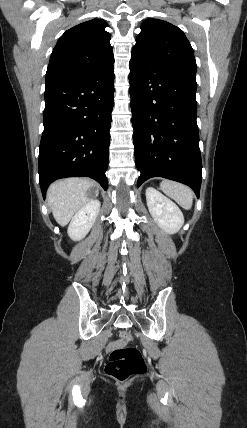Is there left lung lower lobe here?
Masks as SVG:
<instances>
[{
	"label": "left lung lower lobe",
	"mask_w": 247,
	"mask_h": 428,
	"mask_svg": "<svg viewBox=\"0 0 247 428\" xmlns=\"http://www.w3.org/2000/svg\"><path fill=\"white\" fill-rule=\"evenodd\" d=\"M129 81L137 185L159 176L190 186L199 197L196 82L135 54Z\"/></svg>",
	"instance_id": "0a47b994"
}]
</instances>
